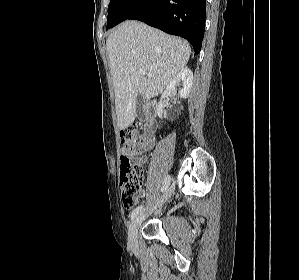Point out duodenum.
I'll use <instances>...</instances> for the list:
<instances>
[{"label": "duodenum", "mask_w": 299, "mask_h": 280, "mask_svg": "<svg viewBox=\"0 0 299 280\" xmlns=\"http://www.w3.org/2000/svg\"><path fill=\"white\" fill-rule=\"evenodd\" d=\"M156 112V102L150 101L146 106V125L149 129L153 127V118Z\"/></svg>", "instance_id": "duodenum-1"}]
</instances>
